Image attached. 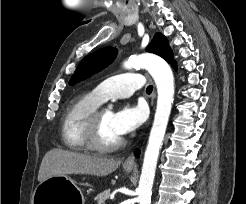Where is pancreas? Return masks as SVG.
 <instances>
[{
	"instance_id": "pancreas-1",
	"label": "pancreas",
	"mask_w": 246,
	"mask_h": 204,
	"mask_svg": "<svg viewBox=\"0 0 246 204\" xmlns=\"http://www.w3.org/2000/svg\"><path fill=\"white\" fill-rule=\"evenodd\" d=\"M110 197V190H105L102 193L98 194L95 197L96 204H105V201H107Z\"/></svg>"
}]
</instances>
